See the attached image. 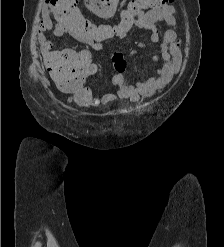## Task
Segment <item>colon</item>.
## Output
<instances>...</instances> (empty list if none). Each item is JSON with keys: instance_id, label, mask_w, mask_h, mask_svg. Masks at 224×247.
Segmentation results:
<instances>
[{"instance_id": "5ec220e1", "label": "colon", "mask_w": 224, "mask_h": 247, "mask_svg": "<svg viewBox=\"0 0 224 247\" xmlns=\"http://www.w3.org/2000/svg\"><path fill=\"white\" fill-rule=\"evenodd\" d=\"M173 2L174 0H130L122 12L120 22L111 25L97 24L87 19L78 7V0H53L64 23L72 27L78 35L101 41L125 37L139 14L171 5ZM112 61L117 72L125 70L126 62L119 52L113 53ZM47 69L61 89L74 93L78 103L93 105L94 97L85 83L94 75L95 67L87 54L51 57L47 61Z\"/></svg>"}]
</instances>
